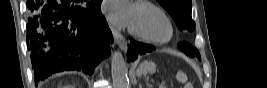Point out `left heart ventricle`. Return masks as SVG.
Listing matches in <instances>:
<instances>
[{"label":"left heart ventricle","instance_id":"left-heart-ventricle-1","mask_svg":"<svg viewBox=\"0 0 267 88\" xmlns=\"http://www.w3.org/2000/svg\"><path fill=\"white\" fill-rule=\"evenodd\" d=\"M130 25L139 32L153 38H164L168 35L166 22L149 9L134 8Z\"/></svg>","mask_w":267,"mask_h":88}]
</instances>
